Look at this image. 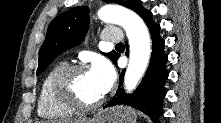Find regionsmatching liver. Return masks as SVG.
<instances>
[{
	"instance_id": "6515ba94",
	"label": "liver",
	"mask_w": 221,
	"mask_h": 123,
	"mask_svg": "<svg viewBox=\"0 0 221 123\" xmlns=\"http://www.w3.org/2000/svg\"><path fill=\"white\" fill-rule=\"evenodd\" d=\"M70 122L81 123L82 120H81V119H78V120H72V121H70Z\"/></svg>"
}]
</instances>
